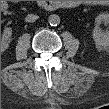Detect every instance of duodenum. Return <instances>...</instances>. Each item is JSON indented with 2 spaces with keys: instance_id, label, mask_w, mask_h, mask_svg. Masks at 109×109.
<instances>
[{
  "instance_id": "obj_1",
  "label": "duodenum",
  "mask_w": 109,
  "mask_h": 109,
  "mask_svg": "<svg viewBox=\"0 0 109 109\" xmlns=\"http://www.w3.org/2000/svg\"><path fill=\"white\" fill-rule=\"evenodd\" d=\"M37 6L40 9H48V8H57V7H59L57 4H55L52 1H39L37 3ZM70 6H73V4H71Z\"/></svg>"
}]
</instances>
